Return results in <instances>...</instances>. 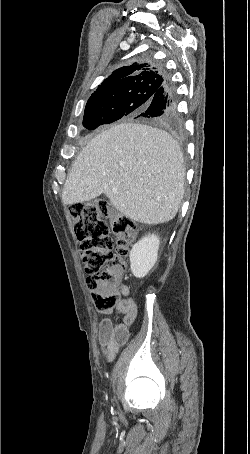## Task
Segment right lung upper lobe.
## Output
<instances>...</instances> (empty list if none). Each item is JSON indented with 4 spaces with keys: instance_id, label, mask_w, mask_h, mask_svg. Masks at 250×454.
I'll use <instances>...</instances> for the list:
<instances>
[{
    "instance_id": "obj_1",
    "label": "right lung upper lobe",
    "mask_w": 250,
    "mask_h": 454,
    "mask_svg": "<svg viewBox=\"0 0 250 454\" xmlns=\"http://www.w3.org/2000/svg\"><path fill=\"white\" fill-rule=\"evenodd\" d=\"M166 81L167 77L162 69L154 67L153 63H134L115 70L98 86L87 103L104 98H119L141 85L152 84L162 89Z\"/></svg>"
}]
</instances>
